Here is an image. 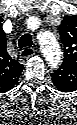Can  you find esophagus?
<instances>
[{
	"instance_id": "34e87169",
	"label": "esophagus",
	"mask_w": 77,
	"mask_h": 125,
	"mask_svg": "<svg viewBox=\"0 0 77 125\" xmlns=\"http://www.w3.org/2000/svg\"><path fill=\"white\" fill-rule=\"evenodd\" d=\"M34 55V49L32 47H24L21 51H20V56L22 58H28L30 56Z\"/></svg>"
}]
</instances>
